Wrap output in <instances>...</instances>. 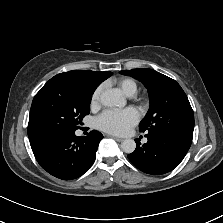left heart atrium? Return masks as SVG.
Listing matches in <instances>:
<instances>
[{
	"mask_svg": "<svg viewBox=\"0 0 223 223\" xmlns=\"http://www.w3.org/2000/svg\"><path fill=\"white\" fill-rule=\"evenodd\" d=\"M140 119L133 107L125 109H107L97 117V126L107 133L121 135L127 133Z\"/></svg>",
	"mask_w": 223,
	"mask_h": 223,
	"instance_id": "39dd6f15",
	"label": "left heart atrium"
}]
</instances>
